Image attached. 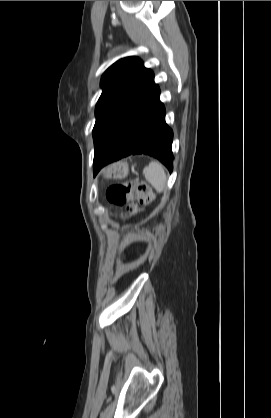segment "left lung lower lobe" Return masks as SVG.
<instances>
[{
  "instance_id": "0a47b994",
  "label": "left lung lower lobe",
  "mask_w": 271,
  "mask_h": 418,
  "mask_svg": "<svg viewBox=\"0 0 271 418\" xmlns=\"http://www.w3.org/2000/svg\"><path fill=\"white\" fill-rule=\"evenodd\" d=\"M159 95V86L154 85L114 128L94 155V175L108 163L132 154L153 156L172 171L173 132L165 123Z\"/></svg>"
}]
</instances>
